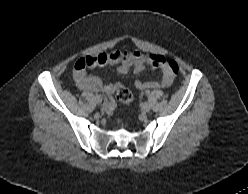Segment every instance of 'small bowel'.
Returning <instances> with one entry per match:
<instances>
[{
    "label": "small bowel",
    "mask_w": 248,
    "mask_h": 194,
    "mask_svg": "<svg viewBox=\"0 0 248 194\" xmlns=\"http://www.w3.org/2000/svg\"><path fill=\"white\" fill-rule=\"evenodd\" d=\"M87 59L94 62L93 67L116 65V71L122 75L128 74L130 72L139 73L148 69H159L161 77L158 81L137 80L135 82V87L139 90L164 89L169 87L173 81V74L168 70V68L155 66L150 60V56L137 51H114L110 54L102 53L96 56L88 57ZM73 77L76 86L80 90L92 92L103 91L107 94H110L114 91L113 85L103 84L99 77L89 75L88 69L78 71L75 67ZM109 109L110 105H107L105 110L108 111Z\"/></svg>",
    "instance_id": "c3829d8e"
}]
</instances>
